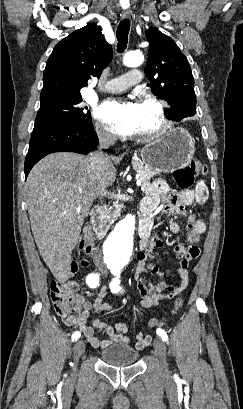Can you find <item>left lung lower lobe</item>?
<instances>
[{
	"instance_id": "1",
	"label": "left lung lower lobe",
	"mask_w": 243,
	"mask_h": 409,
	"mask_svg": "<svg viewBox=\"0 0 243 409\" xmlns=\"http://www.w3.org/2000/svg\"><path fill=\"white\" fill-rule=\"evenodd\" d=\"M193 115H195V112H189V113H186V114H179V115L175 116L172 120L179 122V121H181L183 118H185V117H191V116H193Z\"/></svg>"
}]
</instances>
